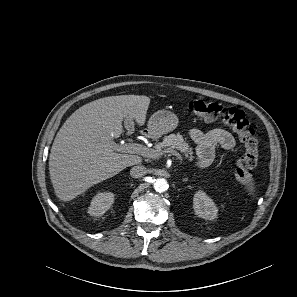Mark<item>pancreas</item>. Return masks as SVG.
Instances as JSON below:
<instances>
[{
    "instance_id": "cf45deb5",
    "label": "pancreas",
    "mask_w": 297,
    "mask_h": 297,
    "mask_svg": "<svg viewBox=\"0 0 297 297\" xmlns=\"http://www.w3.org/2000/svg\"><path fill=\"white\" fill-rule=\"evenodd\" d=\"M176 150L184 153L189 161H193V150L180 133L165 136L163 141L156 145L154 151L158 156H161L164 153H175Z\"/></svg>"
}]
</instances>
